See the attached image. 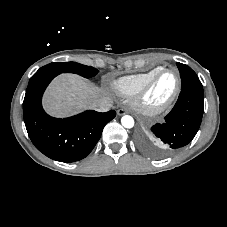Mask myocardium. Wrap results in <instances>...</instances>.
I'll return each mask as SVG.
<instances>
[{"instance_id": "obj_1", "label": "myocardium", "mask_w": 227, "mask_h": 227, "mask_svg": "<svg viewBox=\"0 0 227 227\" xmlns=\"http://www.w3.org/2000/svg\"><path fill=\"white\" fill-rule=\"evenodd\" d=\"M165 72H173L176 76V86L170 97L159 105H150L146 103V96L157 81V79ZM181 90V77L179 72L174 68L162 67L156 73H154L136 92L133 105L141 113L145 115H157L168 110L175 102Z\"/></svg>"}]
</instances>
